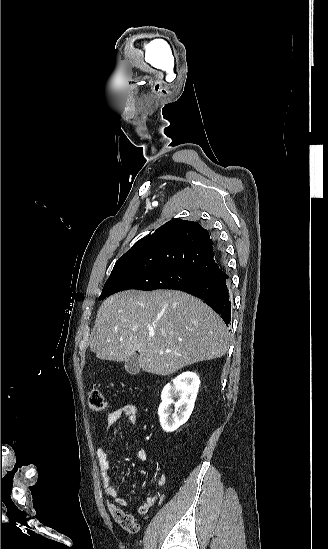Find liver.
Returning <instances> with one entry per match:
<instances>
[{"label": "liver", "instance_id": "1", "mask_svg": "<svg viewBox=\"0 0 328 549\" xmlns=\"http://www.w3.org/2000/svg\"><path fill=\"white\" fill-rule=\"evenodd\" d=\"M229 333L201 299L182 291H122L103 301L90 351L103 361H127L139 353L146 373L172 375L198 361L225 355Z\"/></svg>", "mask_w": 328, "mask_h": 549}]
</instances>
